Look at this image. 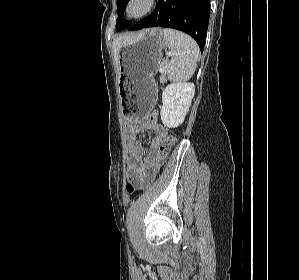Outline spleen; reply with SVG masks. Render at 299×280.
I'll use <instances>...</instances> for the list:
<instances>
[{
    "mask_svg": "<svg viewBox=\"0 0 299 280\" xmlns=\"http://www.w3.org/2000/svg\"><path fill=\"white\" fill-rule=\"evenodd\" d=\"M163 35L172 52V58L166 64L168 79L174 82L189 80L200 56L197 43L190 36L169 28L163 29Z\"/></svg>",
    "mask_w": 299,
    "mask_h": 280,
    "instance_id": "1",
    "label": "spleen"
}]
</instances>
